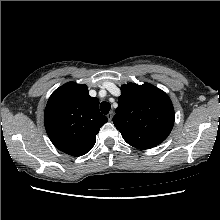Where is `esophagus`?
Returning <instances> with one entry per match:
<instances>
[{
    "mask_svg": "<svg viewBox=\"0 0 220 220\" xmlns=\"http://www.w3.org/2000/svg\"><path fill=\"white\" fill-rule=\"evenodd\" d=\"M113 115H114L113 111H110V112L108 113L107 118H108L109 121L112 120Z\"/></svg>",
    "mask_w": 220,
    "mask_h": 220,
    "instance_id": "esophagus-1",
    "label": "esophagus"
}]
</instances>
